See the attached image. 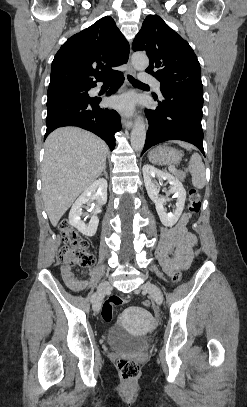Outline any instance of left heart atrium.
Instances as JSON below:
<instances>
[{"label": "left heart atrium", "mask_w": 247, "mask_h": 407, "mask_svg": "<svg viewBox=\"0 0 247 407\" xmlns=\"http://www.w3.org/2000/svg\"><path fill=\"white\" fill-rule=\"evenodd\" d=\"M111 105L119 111L131 112L135 106V100L130 95H123L113 98Z\"/></svg>", "instance_id": "obj_1"}]
</instances>
